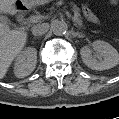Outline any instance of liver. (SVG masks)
<instances>
[{
	"mask_svg": "<svg viewBox=\"0 0 119 119\" xmlns=\"http://www.w3.org/2000/svg\"><path fill=\"white\" fill-rule=\"evenodd\" d=\"M17 0H0V13L14 15L17 12ZM27 42L25 30H10L0 23V79H3L8 68L18 57Z\"/></svg>",
	"mask_w": 119,
	"mask_h": 119,
	"instance_id": "1",
	"label": "liver"
}]
</instances>
